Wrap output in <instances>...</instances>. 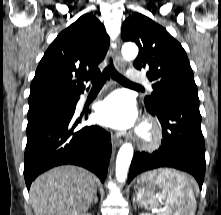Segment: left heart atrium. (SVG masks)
I'll return each instance as SVG.
<instances>
[{
	"instance_id": "39dd6f15",
	"label": "left heart atrium",
	"mask_w": 221,
	"mask_h": 215,
	"mask_svg": "<svg viewBox=\"0 0 221 215\" xmlns=\"http://www.w3.org/2000/svg\"><path fill=\"white\" fill-rule=\"evenodd\" d=\"M96 118L102 125L128 130L135 125L137 112L133 101L126 94L116 92L97 105Z\"/></svg>"
}]
</instances>
